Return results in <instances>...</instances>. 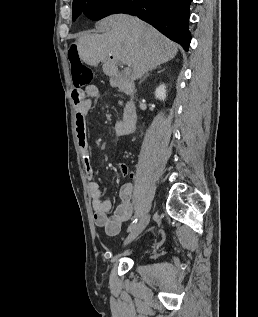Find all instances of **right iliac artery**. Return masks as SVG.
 <instances>
[{"label":"right iliac artery","mask_w":258,"mask_h":317,"mask_svg":"<svg viewBox=\"0 0 258 317\" xmlns=\"http://www.w3.org/2000/svg\"><path fill=\"white\" fill-rule=\"evenodd\" d=\"M137 221H138L137 218L132 221V223L129 225V227H128V229H127L128 232L131 231V230L135 227Z\"/></svg>","instance_id":"right-iliac-artery-1"}]
</instances>
